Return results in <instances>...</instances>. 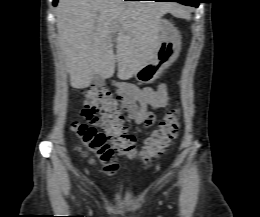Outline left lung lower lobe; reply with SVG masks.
<instances>
[{
  "mask_svg": "<svg viewBox=\"0 0 260 217\" xmlns=\"http://www.w3.org/2000/svg\"><path fill=\"white\" fill-rule=\"evenodd\" d=\"M155 1H170V2H180L184 5L198 7V3H201L200 0H155Z\"/></svg>",
  "mask_w": 260,
  "mask_h": 217,
  "instance_id": "obj_1",
  "label": "left lung lower lobe"
}]
</instances>
